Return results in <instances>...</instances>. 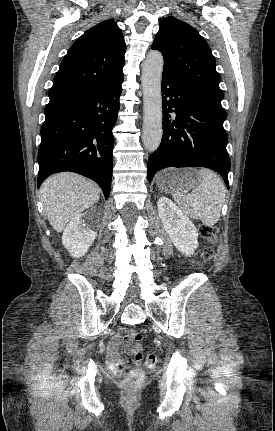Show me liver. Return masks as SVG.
Instances as JSON below:
<instances>
[{"label": "liver", "instance_id": "obj_1", "mask_svg": "<svg viewBox=\"0 0 275 431\" xmlns=\"http://www.w3.org/2000/svg\"><path fill=\"white\" fill-rule=\"evenodd\" d=\"M41 200L51 226L62 232L75 215L98 202V187L75 173H58L47 178L40 188Z\"/></svg>", "mask_w": 275, "mask_h": 431}]
</instances>
